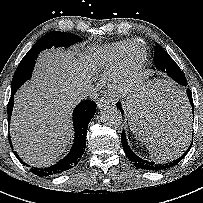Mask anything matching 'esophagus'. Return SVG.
<instances>
[{
    "mask_svg": "<svg viewBox=\"0 0 203 203\" xmlns=\"http://www.w3.org/2000/svg\"><path fill=\"white\" fill-rule=\"evenodd\" d=\"M112 103V100L107 97H101L97 100L98 108H103Z\"/></svg>",
    "mask_w": 203,
    "mask_h": 203,
    "instance_id": "1",
    "label": "esophagus"
}]
</instances>
